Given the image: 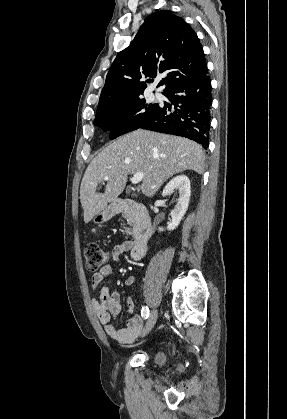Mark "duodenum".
<instances>
[{
  "instance_id": "1",
  "label": "duodenum",
  "mask_w": 287,
  "mask_h": 419,
  "mask_svg": "<svg viewBox=\"0 0 287 419\" xmlns=\"http://www.w3.org/2000/svg\"><path fill=\"white\" fill-rule=\"evenodd\" d=\"M113 206L117 213H129L133 217L134 247L131 257L133 259L142 258L146 250V244L153 232L152 219L146 206L131 199H116Z\"/></svg>"
}]
</instances>
